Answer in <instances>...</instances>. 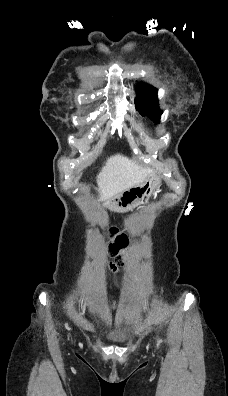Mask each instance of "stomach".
Masks as SVG:
<instances>
[{
	"instance_id": "stomach-1",
	"label": "stomach",
	"mask_w": 228,
	"mask_h": 396,
	"mask_svg": "<svg viewBox=\"0 0 228 396\" xmlns=\"http://www.w3.org/2000/svg\"><path fill=\"white\" fill-rule=\"evenodd\" d=\"M160 185L159 177L151 175L144 182L130 187L118 195L104 201V207L114 212H127L148 203Z\"/></svg>"
}]
</instances>
